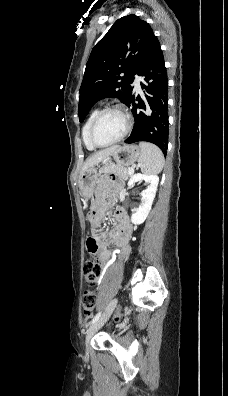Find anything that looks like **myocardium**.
<instances>
[{"label": "myocardium", "mask_w": 228, "mask_h": 396, "mask_svg": "<svg viewBox=\"0 0 228 396\" xmlns=\"http://www.w3.org/2000/svg\"><path fill=\"white\" fill-rule=\"evenodd\" d=\"M113 111L114 112H118V113H120L122 115V117L124 118V121H125V128H124L123 132L120 134V136H118L115 140H113V141H111L109 143H106V144H100V143L96 142V140L94 138L95 127H96L98 121L100 120V118L104 114H106L108 112H113ZM131 127H132V121H131L130 116L126 112V110L120 105H111V106H108V107H105V108L101 109L97 113L95 118L93 119V121L91 123V126H90V129H89V141L92 144V146H94L95 148H105V147L114 145V144L120 142L121 140H123L128 135V133L130 132Z\"/></svg>", "instance_id": "1"}]
</instances>
